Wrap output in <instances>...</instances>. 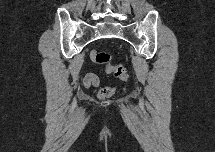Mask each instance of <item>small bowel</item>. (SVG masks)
Instances as JSON below:
<instances>
[{
	"label": "small bowel",
	"mask_w": 215,
	"mask_h": 152,
	"mask_svg": "<svg viewBox=\"0 0 215 152\" xmlns=\"http://www.w3.org/2000/svg\"><path fill=\"white\" fill-rule=\"evenodd\" d=\"M84 85L86 87H98L100 85L99 78L97 77V75L89 73L84 78Z\"/></svg>",
	"instance_id": "obj_1"
}]
</instances>
